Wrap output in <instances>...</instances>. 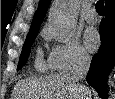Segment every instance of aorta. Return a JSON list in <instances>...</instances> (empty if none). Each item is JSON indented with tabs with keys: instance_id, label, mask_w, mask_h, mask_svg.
Returning <instances> with one entry per match:
<instances>
[{
	"instance_id": "1",
	"label": "aorta",
	"mask_w": 115,
	"mask_h": 99,
	"mask_svg": "<svg viewBox=\"0 0 115 99\" xmlns=\"http://www.w3.org/2000/svg\"><path fill=\"white\" fill-rule=\"evenodd\" d=\"M78 16V5L75 1H54L50 14L49 25L57 40L67 42L73 35Z\"/></svg>"
}]
</instances>
